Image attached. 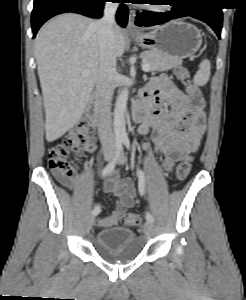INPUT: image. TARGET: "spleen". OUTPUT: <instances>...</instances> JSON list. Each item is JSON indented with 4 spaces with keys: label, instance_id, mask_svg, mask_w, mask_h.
Segmentation results:
<instances>
[{
    "label": "spleen",
    "instance_id": "obj_1",
    "mask_svg": "<svg viewBox=\"0 0 246 300\" xmlns=\"http://www.w3.org/2000/svg\"><path fill=\"white\" fill-rule=\"evenodd\" d=\"M210 70V61L208 59H204L203 61H201L199 69L193 78V83L197 86H204L209 81L211 74Z\"/></svg>",
    "mask_w": 246,
    "mask_h": 300
}]
</instances>
